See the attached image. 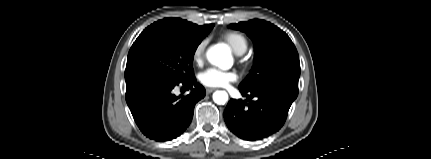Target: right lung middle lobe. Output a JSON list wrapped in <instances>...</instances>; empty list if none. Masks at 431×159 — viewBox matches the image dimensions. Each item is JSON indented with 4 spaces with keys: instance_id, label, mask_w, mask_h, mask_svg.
I'll list each match as a JSON object with an SVG mask.
<instances>
[{
    "instance_id": "dd1d6c3e",
    "label": "right lung middle lobe",
    "mask_w": 431,
    "mask_h": 159,
    "mask_svg": "<svg viewBox=\"0 0 431 159\" xmlns=\"http://www.w3.org/2000/svg\"><path fill=\"white\" fill-rule=\"evenodd\" d=\"M205 36L194 37L159 24L148 26L128 53L126 85L150 76L178 81L194 77L193 56Z\"/></svg>"
}]
</instances>
